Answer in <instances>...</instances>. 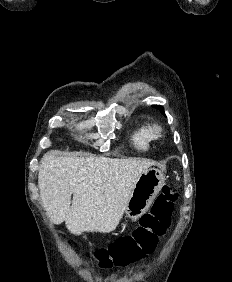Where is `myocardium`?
<instances>
[{
	"instance_id": "obj_1",
	"label": "myocardium",
	"mask_w": 232,
	"mask_h": 282,
	"mask_svg": "<svg viewBox=\"0 0 232 282\" xmlns=\"http://www.w3.org/2000/svg\"><path fill=\"white\" fill-rule=\"evenodd\" d=\"M150 132L153 139H159L163 136V128L156 123L150 126Z\"/></svg>"
}]
</instances>
